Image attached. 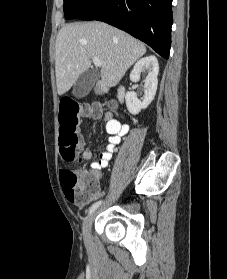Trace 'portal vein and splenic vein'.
Returning a JSON list of instances; mask_svg holds the SVG:
<instances>
[{
    "mask_svg": "<svg viewBox=\"0 0 227 279\" xmlns=\"http://www.w3.org/2000/svg\"><path fill=\"white\" fill-rule=\"evenodd\" d=\"M92 61H93V63H94L95 66H97V67H101V66H102V61H101L100 58L93 57V58H92Z\"/></svg>",
    "mask_w": 227,
    "mask_h": 279,
    "instance_id": "18ae733b",
    "label": "portal vein and splenic vein"
}]
</instances>
